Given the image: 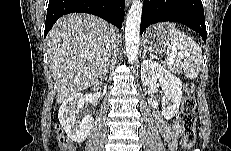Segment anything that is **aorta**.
<instances>
[{"mask_svg": "<svg viewBox=\"0 0 231 151\" xmlns=\"http://www.w3.org/2000/svg\"><path fill=\"white\" fill-rule=\"evenodd\" d=\"M142 16V2L133 0L127 14L125 26V47L129 63H133L139 53L140 23Z\"/></svg>", "mask_w": 231, "mask_h": 151, "instance_id": "aorta-1", "label": "aorta"}]
</instances>
